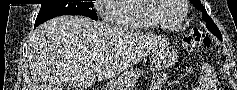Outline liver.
<instances>
[{
	"mask_svg": "<svg viewBox=\"0 0 237 90\" xmlns=\"http://www.w3.org/2000/svg\"><path fill=\"white\" fill-rule=\"evenodd\" d=\"M29 50L33 90H88L128 66V48L140 46L138 32L122 34L110 22L60 16L35 30ZM68 86V88H65Z\"/></svg>",
	"mask_w": 237,
	"mask_h": 90,
	"instance_id": "liver-1",
	"label": "liver"
}]
</instances>
